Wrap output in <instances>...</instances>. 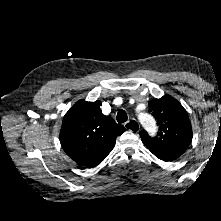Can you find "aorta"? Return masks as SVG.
<instances>
[{
    "label": "aorta",
    "instance_id": "obj_1",
    "mask_svg": "<svg viewBox=\"0 0 221 221\" xmlns=\"http://www.w3.org/2000/svg\"><path fill=\"white\" fill-rule=\"evenodd\" d=\"M139 121L150 133L154 134L156 132V122L150 114L140 113Z\"/></svg>",
    "mask_w": 221,
    "mask_h": 221
}]
</instances>
